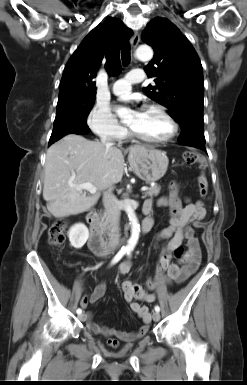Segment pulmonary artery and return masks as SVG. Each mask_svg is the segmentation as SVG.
Listing matches in <instances>:
<instances>
[{"mask_svg": "<svg viewBox=\"0 0 247 385\" xmlns=\"http://www.w3.org/2000/svg\"><path fill=\"white\" fill-rule=\"evenodd\" d=\"M144 78V73L140 69H134L127 73L126 77L117 80L113 84V93L118 96L128 95L132 84L140 83Z\"/></svg>", "mask_w": 247, "mask_h": 385, "instance_id": "1", "label": "pulmonary artery"}]
</instances>
